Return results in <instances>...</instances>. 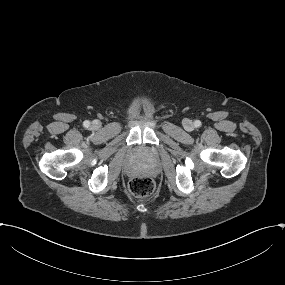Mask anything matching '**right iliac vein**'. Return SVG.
I'll use <instances>...</instances> for the list:
<instances>
[{
	"mask_svg": "<svg viewBox=\"0 0 285 285\" xmlns=\"http://www.w3.org/2000/svg\"><path fill=\"white\" fill-rule=\"evenodd\" d=\"M92 127L94 128V129H98L99 127H100V122L99 121H93L92 122Z\"/></svg>",
	"mask_w": 285,
	"mask_h": 285,
	"instance_id": "obj_1",
	"label": "right iliac vein"
}]
</instances>
